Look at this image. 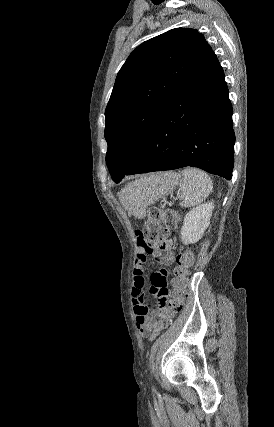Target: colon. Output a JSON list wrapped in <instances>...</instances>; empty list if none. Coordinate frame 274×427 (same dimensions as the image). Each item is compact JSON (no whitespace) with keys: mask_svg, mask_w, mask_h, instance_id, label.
Wrapping results in <instances>:
<instances>
[{"mask_svg":"<svg viewBox=\"0 0 274 427\" xmlns=\"http://www.w3.org/2000/svg\"><path fill=\"white\" fill-rule=\"evenodd\" d=\"M178 221L177 213L169 208L152 207L147 212L146 220L141 229V236L146 237V244L149 247L159 245L163 241L168 240L169 229L173 228ZM195 261L193 252L185 250L182 252L180 259L175 265L172 275V290H170V298L164 306L162 314L158 312L151 315L153 323V333L150 334V339L154 343L160 338L162 330L168 328V321L164 314L181 313L184 308V302L188 297V282L187 276L190 267Z\"/></svg>","mask_w":274,"mask_h":427,"instance_id":"5ec220e1","label":"colon"}]
</instances>
